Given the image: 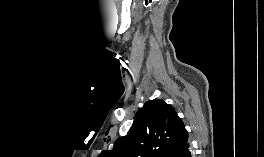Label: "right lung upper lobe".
<instances>
[{"mask_svg": "<svg viewBox=\"0 0 264 157\" xmlns=\"http://www.w3.org/2000/svg\"><path fill=\"white\" fill-rule=\"evenodd\" d=\"M188 141L175 109L161 99L147 101L126 136L116 140L108 157H170ZM100 157L103 155H99Z\"/></svg>", "mask_w": 264, "mask_h": 157, "instance_id": "1", "label": "right lung upper lobe"}]
</instances>
